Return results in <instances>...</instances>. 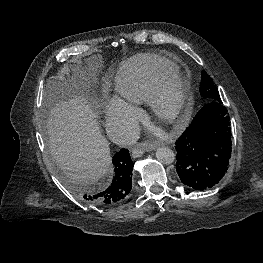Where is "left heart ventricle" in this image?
Masks as SVG:
<instances>
[{
  "label": "left heart ventricle",
  "mask_w": 263,
  "mask_h": 263,
  "mask_svg": "<svg viewBox=\"0 0 263 263\" xmlns=\"http://www.w3.org/2000/svg\"><path fill=\"white\" fill-rule=\"evenodd\" d=\"M175 102H176L175 90L172 87H168L165 90V94H164V105L166 108H171L175 105Z\"/></svg>",
  "instance_id": "obj_1"
}]
</instances>
